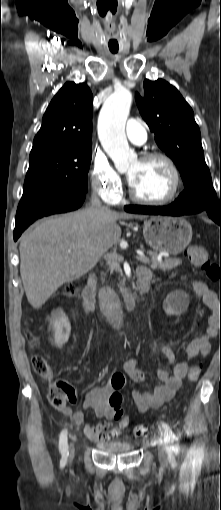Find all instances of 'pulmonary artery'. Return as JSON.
Segmentation results:
<instances>
[{"instance_id": "pulmonary-artery-1", "label": "pulmonary artery", "mask_w": 221, "mask_h": 510, "mask_svg": "<svg viewBox=\"0 0 221 510\" xmlns=\"http://www.w3.org/2000/svg\"><path fill=\"white\" fill-rule=\"evenodd\" d=\"M126 136L127 138L134 144L142 145L147 140V132L143 124L131 118L127 121L126 124Z\"/></svg>"}]
</instances>
